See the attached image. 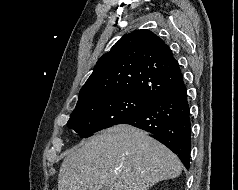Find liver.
<instances>
[{
    "mask_svg": "<svg viewBox=\"0 0 238 190\" xmlns=\"http://www.w3.org/2000/svg\"><path fill=\"white\" fill-rule=\"evenodd\" d=\"M181 172L178 157L145 131L115 125L66 153L58 190H148Z\"/></svg>",
    "mask_w": 238,
    "mask_h": 190,
    "instance_id": "obj_1",
    "label": "liver"
}]
</instances>
